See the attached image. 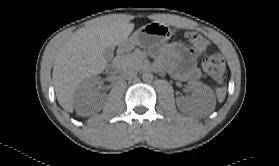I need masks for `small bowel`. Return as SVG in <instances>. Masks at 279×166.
<instances>
[{
  "label": "small bowel",
  "instance_id": "c3829d8e",
  "mask_svg": "<svg viewBox=\"0 0 279 166\" xmlns=\"http://www.w3.org/2000/svg\"><path fill=\"white\" fill-rule=\"evenodd\" d=\"M157 57L160 59L155 65L157 69L166 67L178 76L188 79L199 75L195 58L179 42L173 41L163 46L157 52ZM174 61L179 62V67L173 64Z\"/></svg>",
  "mask_w": 279,
  "mask_h": 166
}]
</instances>
